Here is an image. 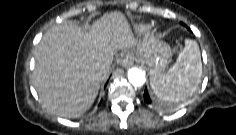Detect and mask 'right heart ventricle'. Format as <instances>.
<instances>
[{
    "instance_id": "e07e8e85",
    "label": "right heart ventricle",
    "mask_w": 236,
    "mask_h": 135,
    "mask_svg": "<svg viewBox=\"0 0 236 135\" xmlns=\"http://www.w3.org/2000/svg\"><path fill=\"white\" fill-rule=\"evenodd\" d=\"M142 29H143V26H142V25H137V26H136V30L141 31Z\"/></svg>"
}]
</instances>
